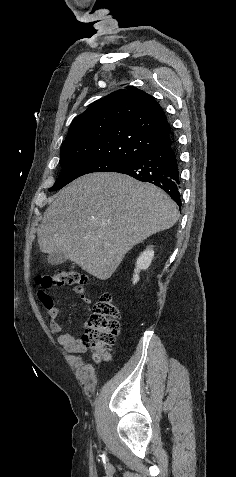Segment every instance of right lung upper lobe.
Wrapping results in <instances>:
<instances>
[{
	"instance_id": "cb5924a9",
	"label": "right lung upper lobe",
	"mask_w": 236,
	"mask_h": 477,
	"mask_svg": "<svg viewBox=\"0 0 236 477\" xmlns=\"http://www.w3.org/2000/svg\"><path fill=\"white\" fill-rule=\"evenodd\" d=\"M169 134L155 99L127 87L95 101L71 123L60 161L92 156L132 161L166 143Z\"/></svg>"
}]
</instances>
